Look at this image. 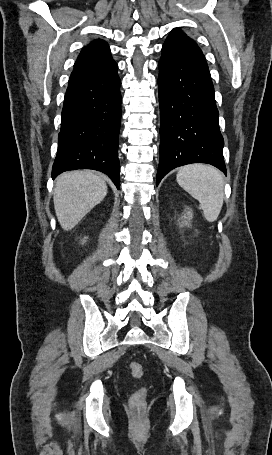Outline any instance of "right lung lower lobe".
<instances>
[{"label": "right lung lower lobe", "mask_w": 272, "mask_h": 455, "mask_svg": "<svg viewBox=\"0 0 272 455\" xmlns=\"http://www.w3.org/2000/svg\"><path fill=\"white\" fill-rule=\"evenodd\" d=\"M120 85L116 70L68 86L52 178L68 170L94 169L107 174L119 189Z\"/></svg>", "instance_id": "98d812e1"}]
</instances>
